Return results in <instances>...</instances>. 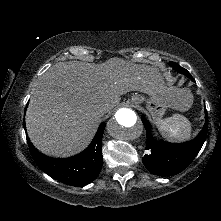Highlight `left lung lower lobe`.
Masks as SVG:
<instances>
[{"label": "left lung lower lobe", "instance_id": "obj_1", "mask_svg": "<svg viewBox=\"0 0 221 221\" xmlns=\"http://www.w3.org/2000/svg\"><path fill=\"white\" fill-rule=\"evenodd\" d=\"M188 78L194 81L190 73L183 71ZM146 129V150L149 154L142 158L145 167L158 176L175 175L183 171L193 161L200 151L207 134L208 117L205 108V124L199 135L186 143H168L165 141H155L150 133L151 126L146 118H142Z\"/></svg>", "mask_w": 221, "mask_h": 221}]
</instances>
